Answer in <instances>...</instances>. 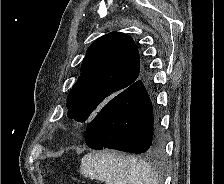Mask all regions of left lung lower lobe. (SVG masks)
Listing matches in <instances>:
<instances>
[{
    "label": "left lung lower lobe",
    "mask_w": 224,
    "mask_h": 184,
    "mask_svg": "<svg viewBox=\"0 0 224 184\" xmlns=\"http://www.w3.org/2000/svg\"><path fill=\"white\" fill-rule=\"evenodd\" d=\"M85 142L96 150L159 154L164 146L156 130L153 107L140 80L109 100L89 123Z\"/></svg>",
    "instance_id": "left-lung-lower-lobe-1"
}]
</instances>
